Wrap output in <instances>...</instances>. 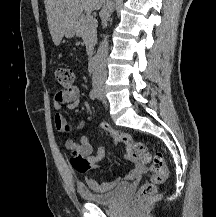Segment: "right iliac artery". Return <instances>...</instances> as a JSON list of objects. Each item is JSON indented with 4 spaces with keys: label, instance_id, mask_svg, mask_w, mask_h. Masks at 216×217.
<instances>
[{
    "label": "right iliac artery",
    "instance_id": "right-iliac-artery-1",
    "mask_svg": "<svg viewBox=\"0 0 216 217\" xmlns=\"http://www.w3.org/2000/svg\"><path fill=\"white\" fill-rule=\"evenodd\" d=\"M89 96H90V98H91L92 100H95L96 97H97L96 90H95V89H92V90L90 91Z\"/></svg>",
    "mask_w": 216,
    "mask_h": 217
}]
</instances>
